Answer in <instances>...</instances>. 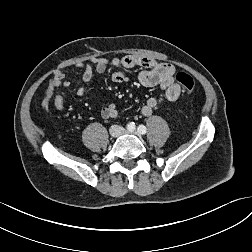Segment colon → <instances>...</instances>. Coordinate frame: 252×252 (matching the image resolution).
Masks as SVG:
<instances>
[{"label":"colon","mask_w":252,"mask_h":252,"mask_svg":"<svg viewBox=\"0 0 252 252\" xmlns=\"http://www.w3.org/2000/svg\"><path fill=\"white\" fill-rule=\"evenodd\" d=\"M175 79L183 89L188 92L193 91L195 87V81L191 75L185 72H179L176 74Z\"/></svg>","instance_id":"1"}]
</instances>
